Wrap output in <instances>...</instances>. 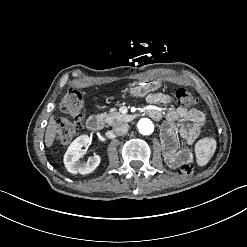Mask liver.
Masks as SVG:
<instances>
[{
	"label": "liver",
	"instance_id": "1",
	"mask_svg": "<svg viewBox=\"0 0 247 247\" xmlns=\"http://www.w3.org/2000/svg\"><path fill=\"white\" fill-rule=\"evenodd\" d=\"M56 129H57L56 121L54 120V117L51 116L45 132V144L47 147L52 146L56 136Z\"/></svg>",
	"mask_w": 247,
	"mask_h": 247
}]
</instances>
